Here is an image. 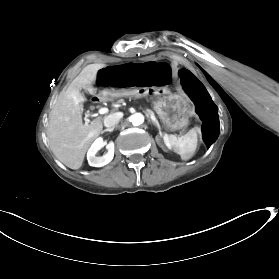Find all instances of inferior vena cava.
Wrapping results in <instances>:
<instances>
[{"label": "inferior vena cava", "instance_id": "obj_1", "mask_svg": "<svg viewBox=\"0 0 279 279\" xmlns=\"http://www.w3.org/2000/svg\"><path fill=\"white\" fill-rule=\"evenodd\" d=\"M122 116H123L122 113H114V114H111V115L105 117V119H104V125H105L106 127H111V126L114 127V125H115L116 123H118L119 118H121Z\"/></svg>", "mask_w": 279, "mask_h": 279}]
</instances>
